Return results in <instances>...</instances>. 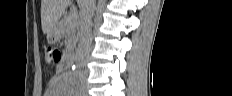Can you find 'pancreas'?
I'll use <instances>...</instances> for the list:
<instances>
[{"instance_id":"obj_1","label":"pancreas","mask_w":232,"mask_h":96,"mask_svg":"<svg viewBox=\"0 0 232 96\" xmlns=\"http://www.w3.org/2000/svg\"><path fill=\"white\" fill-rule=\"evenodd\" d=\"M61 37L64 38L65 53L74 50L79 37L78 18H71V15H64L60 24Z\"/></svg>"}]
</instances>
